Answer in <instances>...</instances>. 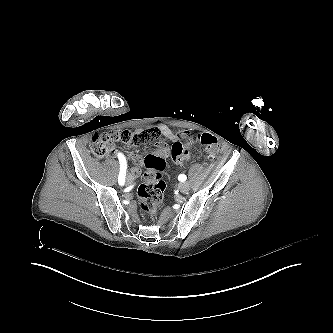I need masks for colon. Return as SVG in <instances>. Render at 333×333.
<instances>
[{
  "label": "colon",
  "instance_id": "5ec220e1",
  "mask_svg": "<svg viewBox=\"0 0 333 333\" xmlns=\"http://www.w3.org/2000/svg\"><path fill=\"white\" fill-rule=\"evenodd\" d=\"M158 137L159 130L156 127H149L145 132H137L136 134L127 130L120 134L121 141L133 147H142L146 142H154ZM118 139L119 136L116 131L106 128L100 129L98 134H94L91 138V151L96 157L102 158L111 151ZM210 141V137L203 139L202 143L205 151L212 156H217L219 153L217 144H209ZM166 150L169 152L171 149L168 147ZM155 151V155L148 153L143 159L146 171L144 172L143 183L137 192L140 198V211L150 218H155L161 209L164 191L161 172L166 167L165 158L167 157V152L162 145H156ZM171 156L177 161H182L186 158L187 153L180 144H176L171 151Z\"/></svg>",
  "mask_w": 333,
  "mask_h": 333
}]
</instances>
